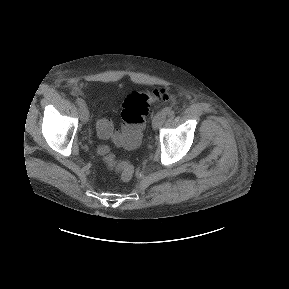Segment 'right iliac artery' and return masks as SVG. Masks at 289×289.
Masks as SVG:
<instances>
[{
	"instance_id": "82829eb1",
	"label": "right iliac artery",
	"mask_w": 289,
	"mask_h": 289,
	"mask_svg": "<svg viewBox=\"0 0 289 289\" xmlns=\"http://www.w3.org/2000/svg\"><path fill=\"white\" fill-rule=\"evenodd\" d=\"M76 103H77L79 106H83V105H85L84 100L81 99V98H77V99H76Z\"/></svg>"
}]
</instances>
